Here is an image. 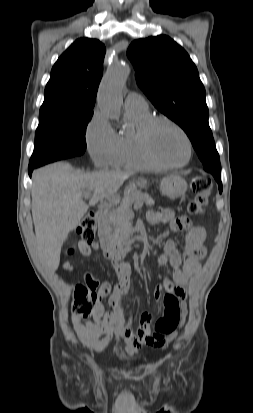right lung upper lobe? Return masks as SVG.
Here are the masks:
<instances>
[{
  "label": "right lung upper lobe",
  "mask_w": 253,
  "mask_h": 413,
  "mask_svg": "<svg viewBox=\"0 0 253 413\" xmlns=\"http://www.w3.org/2000/svg\"><path fill=\"white\" fill-rule=\"evenodd\" d=\"M105 52L96 39L80 38L71 44L51 70L40 114L93 112Z\"/></svg>",
  "instance_id": "1"
}]
</instances>
